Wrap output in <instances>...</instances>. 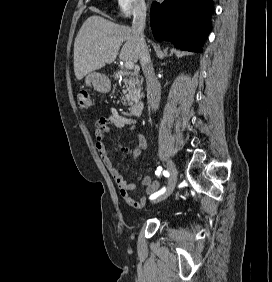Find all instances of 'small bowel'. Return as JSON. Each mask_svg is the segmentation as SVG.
I'll return each instance as SVG.
<instances>
[{
    "label": "small bowel",
    "mask_w": 272,
    "mask_h": 282,
    "mask_svg": "<svg viewBox=\"0 0 272 282\" xmlns=\"http://www.w3.org/2000/svg\"><path fill=\"white\" fill-rule=\"evenodd\" d=\"M136 122L132 119L122 116L115 110H111L107 117L101 118L97 121V128L95 132L96 139V148L101 153L103 162L113 177L119 193L125 202L136 208L140 209L144 207L146 199L144 196L139 197L138 199H133L131 192L134 190L135 186L132 183H129L128 180L119 172V170L114 166L112 161L108 159L103 154V144L102 139L104 136V131L110 128L116 129H128L134 130ZM147 138L143 133H137V145L134 148L132 155L134 159H137L140 155V152L147 148ZM142 185L145 187L146 193L152 195L160 187V182L153 180L150 176H145L142 179Z\"/></svg>",
    "instance_id": "obj_1"
}]
</instances>
